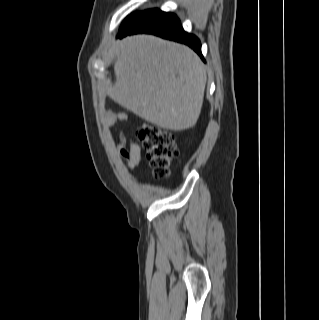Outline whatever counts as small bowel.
<instances>
[{
    "label": "small bowel",
    "instance_id": "1",
    "mask_svg": "<svg viewBox=\"0 0 319 320\" xmlns=\"http://www.w3.org/2000/svg\"><path fill=\"white\" fill-rule=\"evenodd\" d=\"M128 116L125 113L110 114L106 118L108 129L114 127L118 122H125ZM119 158L125 162L131 170H136L141 164V149L138 143L132 138H128L126 144L118 151Z\"/></svg>",
    "mask_w": 319,
    "mask_h": 320
}]
</instances>
